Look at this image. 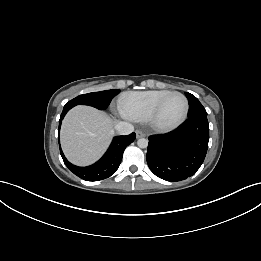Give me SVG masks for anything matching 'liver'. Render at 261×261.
Returning a JSON list of instances; mask_svg holds the SVG:
<instances>
[{
  "mask_svg": "<svg viewBox=\"0 0 261 261\" xmlns=\"http://www.w3.org/2000/svg\"><path fill=\"white\" fill-rule=\"evenodd\" d=\"M112 120L103 111L76 106L65 116L60 133L63 152L75 165L87 166L106 151L113 136Z\"/></svg>",
  "mask_w": 261,
  "mask_h": 261,
  "instance_id": "obj_1",
  "label": "liver"
}]
</instances>
